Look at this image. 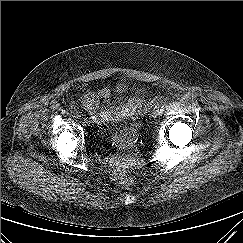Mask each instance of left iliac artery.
I'll list each match as a JSON object with an SVG mask.
<instances>
[{
	"label": "left iliac artery",
	"mask_w": 243,
	"mask_h": 243,
	"mask_svg": "<svg viewBox=\"0 0 243 243\" xmlns=\"http://www.w3.org/2000/svg\"><path fill=\"white\" fill-rule=\"evenodd\" d=\"M166 108V105H162L160 111L163 112Z\"/></svg>",
	"instance_id": "44dca946"
}]
</instances>
